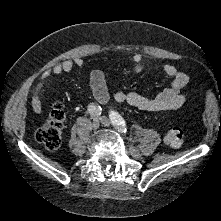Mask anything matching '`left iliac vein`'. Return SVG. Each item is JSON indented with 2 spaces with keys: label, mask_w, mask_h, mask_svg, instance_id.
<instances>
[{
  "label": "left iliac vein",
  "mask_w": 221,
  "mask_h": 221,
  "mask_svg": "<svg viewBox=\"0 0 221 221\" xmlns=\"http://www.w3.org/2000/svg\"><path fill=\"white\" fill-rule=\"evenodd\" d=\"M100 120H101V123L104 125V126H107V127H109L110 126V121H109V119L107 118V117H105V116H102L101 118H100ZM117 129V128H116ZM118 130V129H117ZM119 131V130H118ZM120 132V131H119Z\"/></svg>",
  "instance_id": "left-iliac-vein-1"
}]
</instances>
